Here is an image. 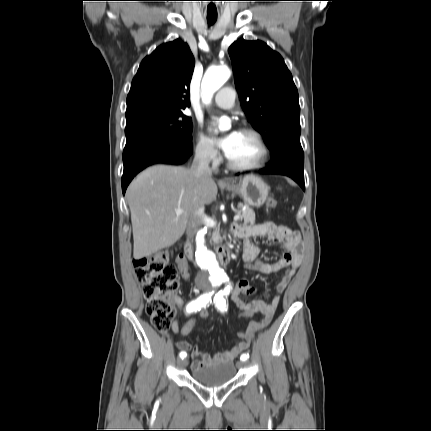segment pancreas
Listing matches in <instances>:
<instances>
[{
    "instance_id": "cf45deb5",
    "label": "pancreas",
    "mask_w": 431,
    "mask_h": 431,
    "mask_svg": "<svg viewBox=\"0 0 431 431\" xmlns=\"http://www.w3.org/2000/svg\"><path fill=\"white\" fill-rule=\"evenodd\" d=\"M238 208L240 209L239 211V216L240 219L244 220L245 223H249L251 225H253L255 223V213L253 211V209H251L248 205H244L242 203L238 204ZM219 239V234H218V229H216V231L213 234V240L217 241Z\"/></svg>"
}]
</instances>
